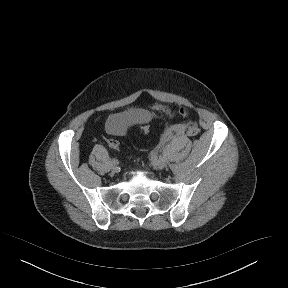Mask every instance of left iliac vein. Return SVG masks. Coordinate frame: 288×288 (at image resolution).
I'll use <instances>...</instances> for the list:
<instances>
[{"instance_id":"obj_1","label":"left iliac vein","mask_w":288,"mask_h":288,"mask_svg":"<svg viewBox=\"0 0 288 288\" xmlns=\"http://www.w3.org/2000/svg\"><path fill=\"white\" fill-rule=\"evenodd\" d=\"M152 162L153 165L159 169H163L166 165V159L164 157H156Z\"/></svg>"}]
</instances>
